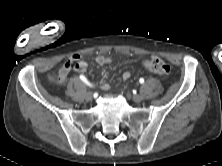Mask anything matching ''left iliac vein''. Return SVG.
I'll list each match as a JSON object with an SVG mask.
<instances>
[{"instance_id":"1","label":"left iliac vein","mask_w":222,"mask_h":166,"mask_svg":"<svg viewBox=\"0 0 222 166\" xmlns=\"http://www.w3.org/2000/svg\"><path fill=\"white\" fill-rule=\"evenodd\" d=\"M132 99H133L134 102L139 103V102L142 101V96L136 94V95H134V96L132 97Z\"/></svg>"}]
</instances>
